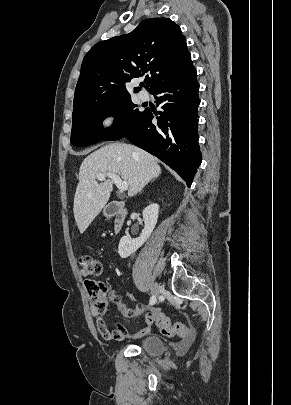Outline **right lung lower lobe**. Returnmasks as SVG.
I'll return each instance as SVG.
<instances>
[{"mask_svg":"<svg viewBox=\"0 0 291 405\" xmlns=\"http://www.w3.org/2000/svg\"><path fill=\"white\" fill-rule=\"evenodd\" d=\"M199 85L196 72L184 79L159 85L151 94L163 111L156 116L145 110L143 117L124 138L158 157L190 187L201 164L198 144Z\"/></svg>","mask_w":291,"mask_h":405,"instance_id":"1","label":"right lung lower lobe"}]
</instances>
